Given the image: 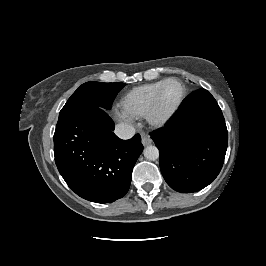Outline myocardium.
Instances as JSON below:
<instances>
[{"label":"myocardium","instance_id":"myocardium-1","mask_svg":"<svg viewBox=\"0 0 266 266\" xmlns=\"http://www.w3.org/2000/svg\"><path fill=\"white\" fill-rule=\"evenodd\" d=\"M171 82H177L180 85L181 95H180V98H179L177 104L175 105V107L167 115H165L164 117H160V116H158L159 98H160V95H161L164 87ZM186 96H187V88L181 79H179L177 77H171V78L165 79V81L160 85V87L155 92L153 99H152V101H151V103L147 109V112L145 114L147 122L151 126L156 127V128H160V127L165 126L177 114V112L181 108Z\"/></svg>","mask_w":266,"mask_h":266}]
</instances>
